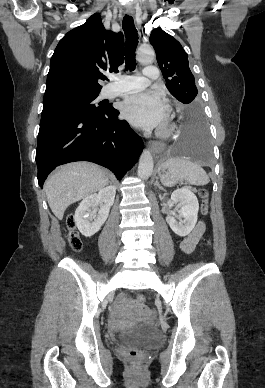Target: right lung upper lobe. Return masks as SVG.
<instances>
[{
    "instance_id": "obj_1",
    "label": "right lung upper lobe",
    "mask_w": 265,
    "mask_h": 388,
    "mask_svg": "<svg viewBox=\"0 0 265 388\" xmlns=\"http://www.w3.org/2000/svg\"><path fill=\"white\" fill-rule=\"evenodd\" d=\"M124 36L107 31L95 13L65 34L51 57L44 98L63 94H95L103 71L118 72L123 63Z\"/></svg>"
}]
</instances>
